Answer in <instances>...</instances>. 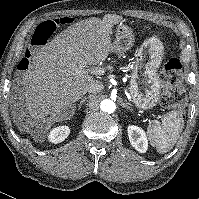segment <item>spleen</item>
<instances>
[{"instance_id": "1", "label": "spleen", "mask_w": 199, "mask_h": 199, "mask_svg": "<svg viewBox=\"0 0 199 199\" xmlns=\"http://www.w3.org/2000/svg\"><path fill=\"white\" fill-rule=\"evenodd\" d=\"M184 127V118L179 111H170L162 119L161 124L148 127V137L153 147L160 153L170 151L176 144Z\"/></svg>"}]
</instances>
